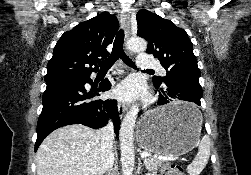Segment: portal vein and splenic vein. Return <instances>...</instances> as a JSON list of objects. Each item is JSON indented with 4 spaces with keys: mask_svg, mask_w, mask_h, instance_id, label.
<instances>
[{
    "mask_svg": "<svg viewBox=\"0 0 251 175\" xmlns=\"http://www.w3.org/2000/svg\"><path fill=\"white\" fill-rule=\"evenodd\" d=\"M141 157H147L149 155L150 158H162L163 160H170L171 162H177L181 159L180 155H168L167 153H140ZM83 175H88V173H83Z\"/></svg>",
    "mask_w": 251,
    "mask_h": 175,
    "instance_id": "obj_1",
    "label": "portal vein and splenic vein"
}]
</instances>
